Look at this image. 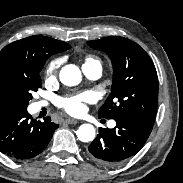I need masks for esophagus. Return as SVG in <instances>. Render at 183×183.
<instances>
[{
	"label": "esophagus",
	"mask_w": 183,
	"mask_h": 183,
	"mask_svg": "<svg viewBox=\"0 0 183 183\" xmlns=\"http://www.w3.org/2000/svg\"><path fill=\"white\" fill-rule=\"evenodd\" d=\"M64 122L67 124H77L78 123V121L76 119H73V118H67V119H65Z\"/></svg>",
	"instance_id": "obj_1"
}]
</instances>
